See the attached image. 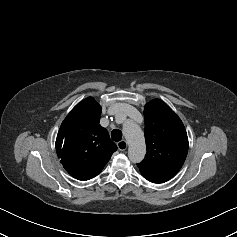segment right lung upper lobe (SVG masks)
Instances as JSON below:
<instances>
[{
    "label": "right lung upper lobe",
    "mask_w": 237,
    "mask_h": 237,
    "mask_svg": "<svg viewBox=\"0 0 237 237\" xmlns=\"http://www.w3.org/2000/svg\"><path fill=\"white\" fill-rule=\"evenodd\" d=\"M101 106L92 97L81 101L62 122L56 151L64 169L86 181L97 176L117 146L100 124Z\"/></svg>",
    "instance_id": "right-lung-upper-lobe-1"
}]
</instances>
